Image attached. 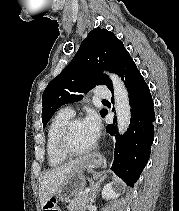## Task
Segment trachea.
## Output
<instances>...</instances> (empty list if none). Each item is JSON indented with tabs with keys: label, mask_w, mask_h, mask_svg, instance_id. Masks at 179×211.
I'll use <instances>...</instances> for the list:
<instances>
[{
	"label": "trachea",
	"mask_w": 179,
	"mask_h": 211,
	"mask_svg": "<svg viewBox=\"0 0 179 211\" xmlns=\"http://www.w3.org/2000/svg\"><path fill=\"white\" fill-rule=\"evenodd\" d=\"M103 102H107V100H102Z\"/></svg>",
	"instance_id": "3493384b"
}]
</instances>
